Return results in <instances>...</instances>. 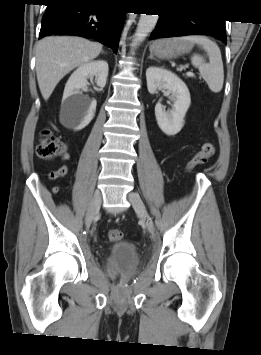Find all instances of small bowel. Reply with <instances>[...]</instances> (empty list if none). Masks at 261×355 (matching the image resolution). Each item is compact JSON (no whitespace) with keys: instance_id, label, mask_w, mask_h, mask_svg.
<instances>
[{"instance_id":"small-bowel-1","label":"small bowel","mask_w":261,"mask_h":355,"mask_svg":"<svg viewBox=\"0 0 261 355\" xmlns=\"http://www.w3.org/2000/svg\"><path fill=\"white\" fill-rule=\"evenodd\" d=\"M69 154L64 155V159H68ZM68 173V166L66 164L61 165L59 168L56 170L50 172L48 174V179L49 180H56L60 177L65 176ZM58 187H55L54 190H56Z\"/></svg>"}]
</instances>
